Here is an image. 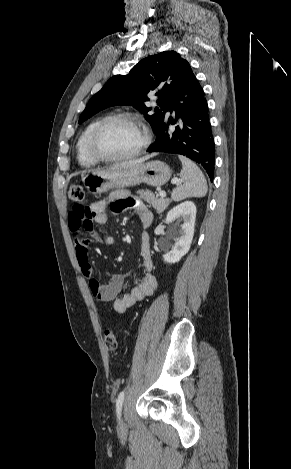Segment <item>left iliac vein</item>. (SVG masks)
Wrapping results in <instances>:
<instances>
[{"instance_id": "left-iliac-vein-1", "label": "left iliac vein", "mask_w": 291, "mask_h": 469, "mask_svg": "<svg viewBox=\"0 0 291 469\" xmlns=\"http://www.w3.org/2000/svg\"><path fill=\"white\" fill-rule=\"evenodd\" d=\"M126 416L125 415H122V417L120 418V426L121 428H124L126 426Z\"/></svg>"}]
</instances>
